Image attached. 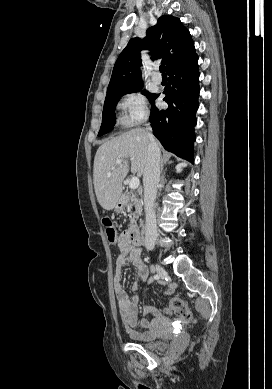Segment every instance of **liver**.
<instances>
[{"label": "liver", "instance_id": "1", "mask_svg": "<svg viewBox=\"0 0 272 389\" xmlns=\"http://www.w3.org/2000/svg\"><path fill=\"white\" fill-rule=\"evenodd\" d=\"M156 141V140H155ZM148 132L131 129L122 135L104 142L94 159L93 182L97 200L105 210H112L122 194V183L129 172L141 177L147 161ZM160 148V143L156 141ZM121 159V164L116 160Z\"/></svg>", "mask_w": 272, "mask_h": 389}]
</instances>
